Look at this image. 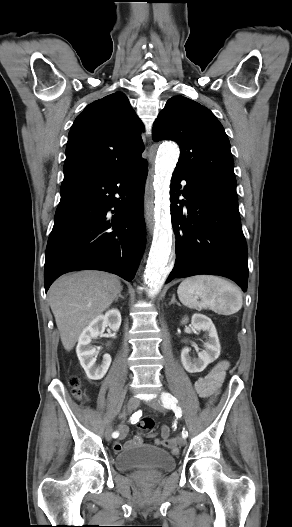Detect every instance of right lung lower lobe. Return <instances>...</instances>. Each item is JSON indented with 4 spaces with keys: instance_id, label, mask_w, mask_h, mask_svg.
Returning <instances> with one entry per match:
<instances>
[{
    "instance_id": "1",
    "label": "right lung lower lobe",
    "mask_w": 292,
    "mask_h": 527,
    "mask_svg": "<svg viewBox=\"0 0 292 527\" xmlns=\"http://www.w3.org/2000/svg\"><path fill=\"white\" fill-rule=\"evenodd\" d=\"M146 176L144 160L107 176L63 180L46 248V292L56 278L70 271L103 270L133 279L146 241Z\"/></svg>"
}]
</instances>
